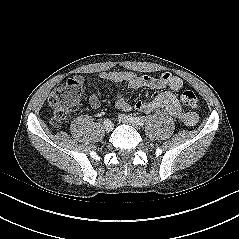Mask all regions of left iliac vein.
<instances>
[{
  "mask_svg": "<svg viewBox=\"0 0 239 239\" xmlns=\"http://www.w3.org/2000/svg\"><path fill=\"white\" fill-rule=\"evenodd\" d=\"M118 119H119L120 122H122L124 124L131 125L135 128L139 127V125L135 122V120L132 117H129L128 115L120 114L118 116Z\"/></svg>",
  "mask_w": 239,
  "mask_h": 239,
  "instance_id": "4c4485c4",
  "label": "left iliac vein"
}]
</instances>
